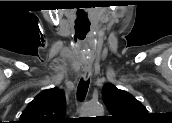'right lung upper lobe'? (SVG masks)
Masks as SVG:
<instances>
[{
  "label": "right lung upper lobe",
  "mask_w": 172,
  "mask_h": 123,
  "mask_svg": "<svg viewBox=\"0 0 172 123\" xmlns=\"http://www.w3.org/2000/svg\"><path fill=\"white\" fill-rule=\"evenodd\" d=\"M65 120L64 94L57 88L40 92L20 116L21 123H63Z\"/></svg>",
  "instance_id": "obj_1"
}]
</instances>
